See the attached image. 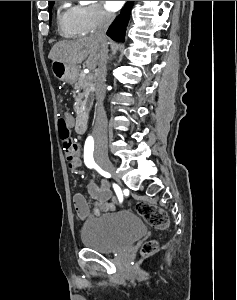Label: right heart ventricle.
Segmentation results:
<instances>
[{"label": "right heart ventricle", "mask_w": 237, "mask_h": 300, "mask_svg": "<svg viewBox=\"0 0 237 300\" xmlns=\"http://www.w3.org/2000/svg\"><path fill=\"white\" fill-rule=\"evenodd\" d=\"M57 19L59 29L63 35L74 36L80 33L76 24L75 7L67 5V2H63L58 9Z\"/></svg>", "instance_id": "obj_1"}]
</instances>
